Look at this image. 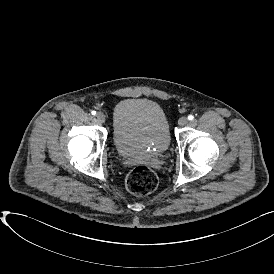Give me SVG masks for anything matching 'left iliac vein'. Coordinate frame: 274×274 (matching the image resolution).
<instances>
[{"mask_svg": "<svg viewBox=\"0 0 274 274\" xmlns=\"http://www.w3.org/2000/svg\"><path fill=\"white\" fill-rule=\"evenodd\" d=\"M188 122H189V121H188V118L185 117V116L179 118V120H178V124H179L180 126H185V125L188 124Z\"/></svg>", "mask_w": 274, "mask_h": 274, "instance_id": "left-iliac-vein-1", "label": "left iliac vein"}]
</instances>
